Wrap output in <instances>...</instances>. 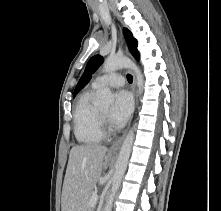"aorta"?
Listing matches in <instances>:
<instances>
[{
  "label": "aorta",
  "instance_id": "aorta-1",
  "mask_svg": "<svg viewBox=\"0 0 221 211\" xmlns=\"http://www.w3.org/2000/svg\"><path fill=\"white\" fill-rule=\"evenodd\" d=\"M104 71L107 73L114 72L121 68L131 69L134 71L137 80L138 94L141 95L143 92L144 79L139 68L128 58L123 56L108 57L104 62ZM114 102V95L110 88L104 87L100 90L97 100L99 107H109ZM134 141V129L131 128L126 135L115 165V172L112 177L111 193L107 198L106 206L104 211H111L113 206V200L122 178L127 168L128 160L131 154L132 145Z\"/></svg>",
  "mask_w": 221,
  "mask_h": 211
}]
</instances>
